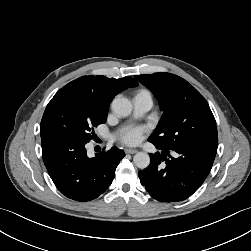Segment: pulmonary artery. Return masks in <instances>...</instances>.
Instances as JSON below:
<instances>
[{
    "instance_id": "obj_1",
    "label": "pulmonary artery",
    "mask_w": 251,
    "mask_h": 251,
    "mask_svg": "<svg viewBox=\"0 0 251 251\" xmlns=\"http://www.w3.org/2000/svg\"><path fill=\"white\" fill-rule=\"evenodd\" d=\"M153 106V100L148 92H139L133 97V117H143Z\"/></svg>"
}]
</instances>
